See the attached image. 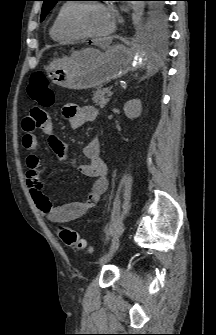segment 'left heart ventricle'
<instances>
[{
    "mask_svg": "<svg viewBox=\"0 0 216 335\" xmlns=\"http://www.w3.org/2000/svg\"><path fill=\"white\" fill-rule=\"evenodd\" d=\"M79 19L81 26L93 33H103L112 25L107 10L97 5L86 6L81 11Z\"/></svg>",
    "mask_w": 216,
    "mask_h": 335,
    "instance_id": "b2bd125f",
    "label": "left heart ventricle"
}]
</instances>
